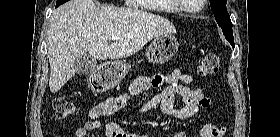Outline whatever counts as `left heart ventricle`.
<instances>
[{"label":"left heart ventricle","mask_w":280,"mask_h":137,"mask_svg":"<svg viewBox=\"0 0 280 137\" xmlns=\"http://www.w3.org/2000/svg\"><path fill=\"white\" fill-rule=\"evenodd\" d=\"M189 2H191V5H192V6H195V5H196L197 0H189Z\"/></svg>","instance_id":"left-heart-ventricle-1"}]
</instances>
